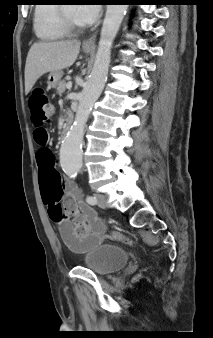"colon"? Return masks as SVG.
<instances>
[{
    "instance_id": "obj_1",
    "label": "colon",
    "mask_w": 213,
    "mask_h": 338,
    "mask_svg": "<svg viewBox=\"0 0 213 338\" xmlns=\"http://www.w3.org/2000/svg\"><path fill=\"white\" fill-rule=\"evenodd\" d=\"M29 108L31 112V122L35 127L34 139L41 147L38 157L40 160L45 162L46 152L44 151V148H46V146L50 143L51 136L43 125L44 123L50 122L52 120L54 116V107L50 104L47 94L44 90H36L29 98ZM43 178L47 182L50 181V174L47 169L44 170ZM51 213L57 223L62 221L61 218H63V213L59 204H54L51 207ZM108 238L125 245L132 243V240L125 236L109 235Z\"/></svg>"
}]
</instances>
